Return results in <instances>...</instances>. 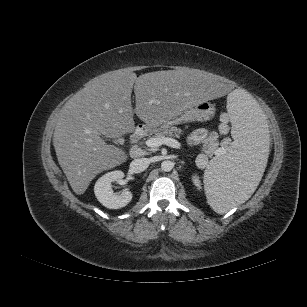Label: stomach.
<instances>
[{"mask_svg":"<svg viewBox=\"0 0 307 307\" xmlns=\"http://www.w3.org/2000/svg\"><path fill=\"white\" fill-rule=\"evenodd\" d=\"M214 106L207 101H200L184 109L180 114L170 117L165 122L152 121L145 125L150 132H157L165 127L185 122L204 121L213 116Z\"/></svg>","mask_w":307,"mask_h":307,"instance_id":"1","label":"stomach"}]
</instances>
